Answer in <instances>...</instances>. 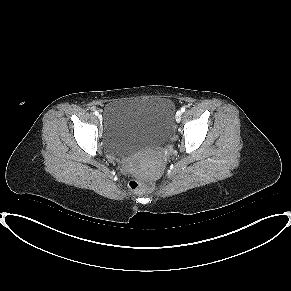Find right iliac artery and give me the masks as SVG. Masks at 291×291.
Wrapping results in <instances>:
<instances>
[{"label": "right iliac artery", "mask_w": 291, "mask_h": 291, "mask_svg": "<svg viewBox=\"0 0 291 291\" xmlns=\"http://www.w3.org/2000/svg\"><path fill=\"white\" fill-rule=\"evenodd\" d=\"M94 114H95V115H98V114H99V112H98V111H95V112H94Z\"/></svg>", "instance_id": "1"}]
</instances>
